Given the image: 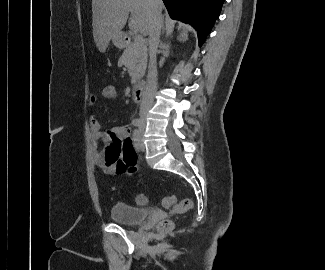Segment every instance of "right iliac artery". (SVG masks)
Returning <instances> with one entry per match:
<instances>
[{"mask_svg": "<svg viewBox=\"0 0 325 270\" xmlns=\"http://www.w3.org/2000/svg\"><path fill=\"white\" fill-rule=\"evenodd\" d=\"M132 124L134 125V126H139L140 124H141V120L140 119H134L133 120V122H132Z\"/></svg>", "mask_w": 325, "mask_h": 270, "instance_id": "1", "label": "right iliac artery"}]
</instances>
